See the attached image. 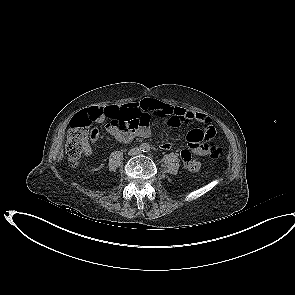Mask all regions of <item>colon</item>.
Instances as JSON below:
<instances>
[{
  "label": "colon",
  "mask_w": 295,
  "mask_h": 295,
  "mask_svg": "<svg viewBox=\"0 0 295 295\" xmlns=\"http://www.w3.org/2000/svg\"><path fill=\"white\" fill-rule=\"evenodd\" d=\"M106 119H115L114 111L106 108L104 111ZM117 125L123 129L133 130L138 128L137 120L127 118L118 120ZM96 129L92 126V121L84 114L76 116L70 124L67 132L65 152L72 166H77L79 161L88 147V141ZM209 155L212 159H218L221 156V148L211 143L209 146Z\"/></svg>",
  "instance_id": "colon-1"
}]
</instances>
